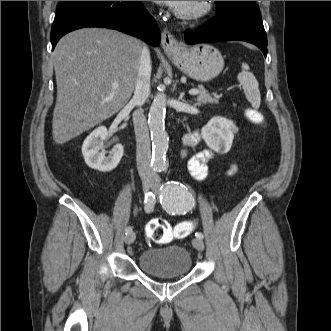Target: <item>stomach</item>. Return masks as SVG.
Wrapping results in <instances>:
<instances>
[{"mask_svg": "<svg viewBox=\"0 0 331 331\" xmlns=\"http://www.w3.org/2000/svg\"><path fill=\"white\" fill-rule=\"evenodd\" d=\"M169 56L182 72L200 82L214 79L224 67L221 53L210 44L182 46Z\"/></svg>", "mask_w": 331, "mask_h": 331, "instance_id": "obj_1", "label": "stomach"}]
</instances>
